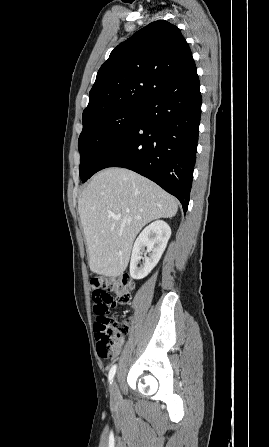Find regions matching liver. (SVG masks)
I'll use <instances>...</instances> for the list:
<instances>
[{"label": "liver", "mask_w": 269, "mask_h": 447, "mask_svg": "<svg viewBox=\"0 0 269 447\" xmlns=\"http://www.w3.org/2000/svg\"><path fill=\"white\" fill-rule=\"evenodd\" d=\"M78 210L91 271L121 275L140 229L152 220L173 218L178 204L147 178L124 168H107L95 174L80 194Z\"/></svg>", "instance_id": "1"}]
</instances>
